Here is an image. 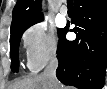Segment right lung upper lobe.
Instances as JSON below:
<instances>
[{
    "label": "right lung upper lobe",
    "mask_w": 107,
    "mask_h": 89,
    "mask_svg": "<svg viewBox=\"0 0 107 89\" xmlns=\"http://www.w3.org/2000/svg\"><path fill=\"white\" fill-rule=\"evenodd\" d=\"M43 19L40 0H17L13 9L11 28Z\"/></svg>",
    "instance_id": "cb5924a9"
}]
</instances>
